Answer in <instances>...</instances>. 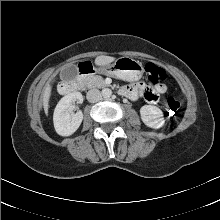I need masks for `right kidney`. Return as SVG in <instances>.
<instances>
[{
    "label": "right kidney",
    "instance_id": "right-kidney-1",
    "mask_svg": "<svg viewBox=\"0 0 220 220\" xmlns=\"http://www.w3.org/2000/svg\"><path fill=\"white\" fill-rule=\"evenodd\" d=\"M75 101L83 102V96L80 92H72L64 96L54 110V128L61 136L72 135L82 123L83 113L81 111L75 114L71 112V106Z\"/></svg>",
    "mask_w": 220,
    "mask_h": 220
}]
</instances>
